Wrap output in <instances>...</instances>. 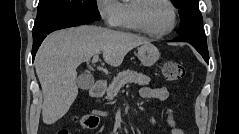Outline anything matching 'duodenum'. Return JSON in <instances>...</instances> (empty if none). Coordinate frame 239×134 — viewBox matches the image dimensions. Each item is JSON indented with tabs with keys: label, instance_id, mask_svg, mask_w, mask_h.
I'll return each instance as SVG.
<instances>
[{
	"label": "duodenum",
	"instance_id": "1",
	"mask_svg": "<svg viewBox=\"0 0 239 134\" xmlns=\"http://www.w3.org/2000/svg\"><path fill=\"white\" fill-rule=\"evenodd\" d=\"M105 88V82L103 79H96L95 83L90 89V94L92 97H100L103 94Z\"/></svg>",
	"mask_w": 239,
	"mask_h": 134
}]
</instances>
